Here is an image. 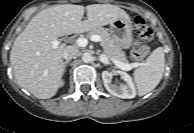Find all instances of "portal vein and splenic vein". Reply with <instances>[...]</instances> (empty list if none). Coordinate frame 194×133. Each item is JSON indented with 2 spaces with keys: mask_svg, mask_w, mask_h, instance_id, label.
I'll return each instance as SVG.
<instances>
[{
  "mask_svg": "<svg viewBox=\"0 0 194 133\" xmlns=\"http://www.w3.org/2000/svg\"><path fill=\"white\" fill-rule=\"evenodd\" d=\"M102 39H101V36L99 35H93L91 36V41H94V42H100ZM75 43L79 46V47H85L87 46L88 44V40L86 38H78ZM61 44V42L59 40H53L52 41V47L53 48H56L58 47L59 45ZM112 62L119 68L123 69V70H130L136 66H138L139 64L138 63H131V64H124L116 59H111Z\"/></svg>",
  "mask_w": 194,
  "mask_h": 133,
  "instance_id": "portal-vein-and-splenic-vein-1",
  "label": "portal vein and splenic vein"
}]
</instances>
